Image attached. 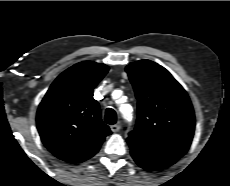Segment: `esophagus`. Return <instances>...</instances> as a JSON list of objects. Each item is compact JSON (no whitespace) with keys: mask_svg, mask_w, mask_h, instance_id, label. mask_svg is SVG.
I'll list each match as a JSON object with an SVG mask.
<instances>
[{"mask_svg":"<svg viewBox=\"0 0 230 186\" xmlns=\"http://www.w3.org/2000/svg\"><path fill=\"white\" fill-rule=\"evenodd\" d=\"M120 128H121L120 124H114L110 126L111 131L114 133L118 132Z\"/></svg>","mask_w":230,"mask_h":186,"instance_id":"1","label":"esophagus"}]
</instances>
